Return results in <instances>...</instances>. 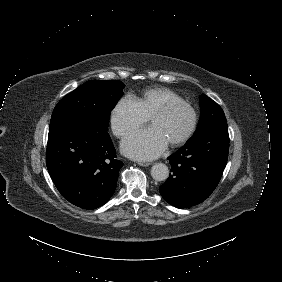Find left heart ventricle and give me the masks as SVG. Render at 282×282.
Returning a JSON list of instances; mask_svg holds the SVG:
<instances>
[{
	"mask_svg": "<svg viewBox=\"0 0 282 282\" xmlns=\"http://www.w3.org/2000/svg\"><path fill=\"white\" fill-rule=\"evenodd\" d=\"M171 101V99H165L160 103L157 110L165 107ZM188 120L187 113L182 109H177L165 116L154 117L151 124L157 127L170 142L183 134L188 125Z\"/></svg>",
	"mask_w": 282,
	"mask_h": 282,
	"instance_id": "1",
	"label": "left heart ventricle"
}]
</instances>
